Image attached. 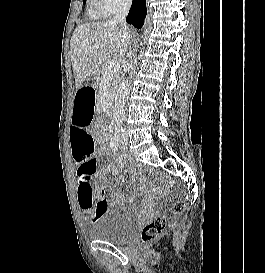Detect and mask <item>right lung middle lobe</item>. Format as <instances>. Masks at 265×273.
Listing matches in <instances>:
<instances>
[{
	"label": "right lung middle lobe",
	"instance_id": "right-lung-middle-lobe-1",
	"mask_svg": "<svg viewBox=\"0 0 265 273\" xmlns=\"http://www.w3.org/2000/svg\"><path fill=\"white\" fill-rule=\"evenodd\" d=\"M86 3V0H83V4H85Z\"/></svg>",
	"mask_w": 265,
	"mask_h": 273
}]
</instances>
